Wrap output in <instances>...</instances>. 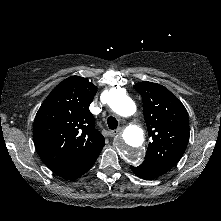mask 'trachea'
Returning <instances> with one entry per match:
<instances>
[{
    "label": "trachea",
    "mask_w": 221,
    "mask_h": 221,
    "mask_svg": "<svg viewBox=\"0 0 221 221\" xmlns=\"http://www.w3.org/2000/svg\"><path fill=\"white\" fill-rule=\"evenodd\" d=\"M107 124H108L109 129L111 130L116 129L118 127L117 119L112 116L107 118Z\"/></svg>",
    "instance_id": "obj_1"
}]
</instances>
